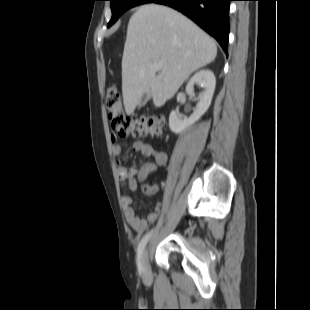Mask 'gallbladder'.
<instances>
[{"label":"gallbladder","instance_id":"1","mask_svg":"<svg viewBox=\"0 0 310 310\" xmlns=\"http://www.w3.org/2000/svg\"><path fill=\"white\" fill-rule=\"evenodd\" d=\"M149 98H150L149 95H147L146 93L143 94V95L139 98V101H138V103H137V106H138L139 108L144 107V106L146 105V103L148 102Z\"/></svg>","mask_w":310,"mask_h":310}]
</instances>
